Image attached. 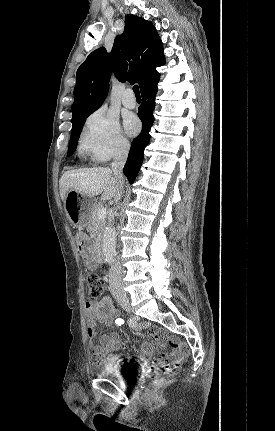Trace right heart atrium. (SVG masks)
Masks as SVG:
<instances>
[{"label":"right heart atrium","instance_id":"d8ad5b80","mask_svg":"<svg viewBox=\"0 0 275 431\" xmlns=\"http://www.w3.org/2000/svg\"><path fill=\"white\" fill-rule=\"evenodd\" d=\"M80 151L98 163L122 156L129 150L118 119L100 108L86 120L79 140Z\"/></svg>","mask_w":275,"mask_h":431}]
</instances>
